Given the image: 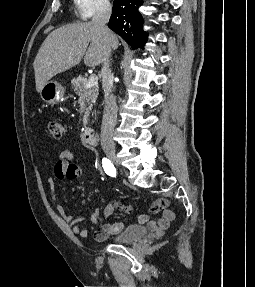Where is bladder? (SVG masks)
<instances>
[{
    "instance_id": "31cf9c89",
    "label": "bladder",
    "mask_w": 255,
    "mask_h": 287,
    "mask_svg": "<svg viewBox=\"0 0 255 287\" xmlns=\"http://www.w3.org/2000/svg\"><path fill=\"white\" fill-rule=\"evenodd\" d=\"M148 229L141 225H128L119 233L113 235L110 240L114 243H132L146 236Z\"/></svg>"
}]
</instances>
